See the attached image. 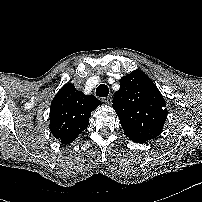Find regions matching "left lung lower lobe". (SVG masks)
I'll return each mask as SVG.
<instances>
[{"mask_svg":"<svg viewBox=\"0 0 202 202\" xmlns=\"http://www.w3.org/2000/svg\"><path fill=\"white\" fill-rule=\"evenodd\" d=\"M133 142H137V141H133ZM137 143H144V142H137Z\"/></svg>","mask_w":202,"mask_h":202,"instance_id":"obj_1","label":"left lung lower lobe"}]
</instances>
